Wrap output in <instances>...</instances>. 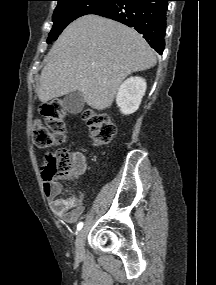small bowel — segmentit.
<instances>
[{
    "instance_id": "1",
    "label": "small bowel",
    "mask_w": 216,
    "mask_h": 285,
    "mask_svg": "<svg viewBox=\"0 0 216 285\" xmlns=\"http://www.w3.org/2000/svg\"><path fill=\"white\" fill-rule=\"evenodd\" d=\"M87 164L84 155H73V177L78 180L86 171ZM44 192L50 199V207L54 215L67 223H75L85 210V195L78 191L75 196L60 197L62 185L55 181L44 182Z\"/></svg>"
}]
</instances>
